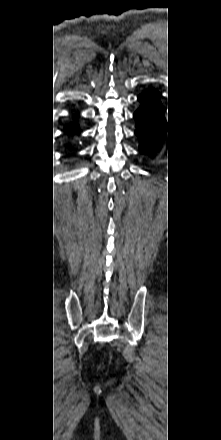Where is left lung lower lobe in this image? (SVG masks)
<instances>
[{"label": "left lung lower lobe", "instance_id": "1", "mask_svg": "<svg viewBox=\"0 0 221 440\" xmlns=\"http://www.w3.org/2000/svg\"><path fill=\"white\" fill-rule=\"evenodd\" d=\"M140 108L134 113L137 121L135 133L139 137L140 152L152 156L166 143V121L159 93L153 89L139 97Z\"/></svg>", "mask_w": 221, "mask_h": 440}]
</instances>
